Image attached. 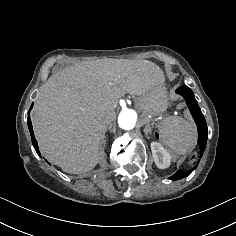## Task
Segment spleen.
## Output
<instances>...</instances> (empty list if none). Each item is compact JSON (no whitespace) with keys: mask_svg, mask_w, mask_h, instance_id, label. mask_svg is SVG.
<instances>
[{"mask_svg":"<svg viewBox=\"0 0 236 236\" xmlns=\"http://www.w3.org/2000/svg\"><path fill=\"white\" fill-rule=\"evenodd\" d=\"M160 132L164 142L179 154L192 151L196 131L193 124L180 118H167L160 124Z\"/></svg>","mask_w":236,"mask_h":236,"instance_id":"1","label":"spleen"}]
</instances>
